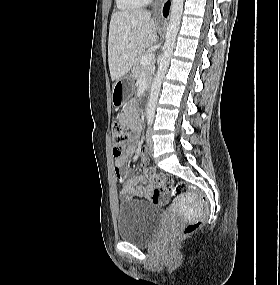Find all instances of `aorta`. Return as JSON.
<instances>
[{"instance_id": "obj_1", "label": "aorta", "mask_w": 280, "mask_h": 285, "mask_svg": "<svg viewBox=\"0 0 280 285\" xmlns=\"http://www.w3.org/2000/svg\"><path fill=\"white\" fill-rule=\"evenodd\" d=\"M183 2L184 0H172L170 21L166 33V42L164 45V53L162 55L158 71L155 75V78L151 86L150 99L147 105L146 116L148 118H153L155 114L156 104L160 93L162 80L169 65L176 36L179 30V25L183 12Z\"/></svg>"}]
</instances>
